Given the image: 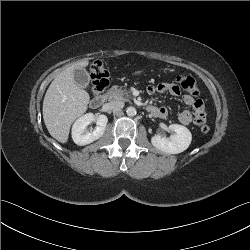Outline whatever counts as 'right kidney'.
<instances>
[{
  "label": "right kidney",
  "mask_w": 250,
  "mask_h": 250,
  "mask_svg": "<svg viewBox=\"0 0 250 250\" xmlns=\"http://www.w3.org/2000/svg\"><path fill=\"white\" fill-rule=\"evenodd\" d=\"M96 122V127L93 131H87L86 127ZM108 118L106 115L94 116L92 113H87L78 118L72 127V139L79 145L84 146L101 138L105 132Z\"/></svg>",
  "instance_id": "1"
}]
</instances>
